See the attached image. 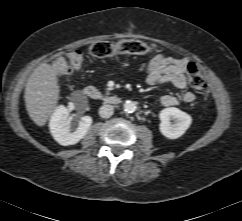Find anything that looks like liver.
Here are the masks:
<instances>
[{
    "mask_svg": "<svg viewBox=\"0 0 242 221\" xmlns=\"http://www.w3.org/2000/svg\"><path fill=\"white\" fill-rule=\"evenodd\" d=\"M60 87L54 68L41 63L30 75L25 88V105L33 122L42 127L52 115L59 100Z\"/></svg>",
    "mask_w": 242,
    "mask_h": 221,
    "instance_id": "obj_1",
    "label": "liver"
}]
</instances>
